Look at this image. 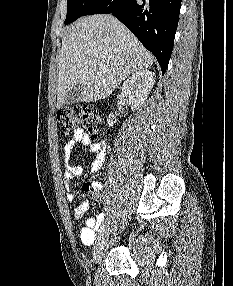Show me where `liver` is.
Masks as SVG:
<instances>
[{
  "mask_svg": "<svg viewBox=\"0 0 233 286\" xmlns=\"http://www.w3.org/2000/svg\"><path fill=\"white\" fill-rule=\"evenodd\" d=\"M104 69L100 70L99 65ZM152 54L112 15L97 14L74 22L58 54L57 108L68 92L84 85L81 102L105 99L128 75L149 68Z\"/></svg>",
  "mask_w": 233,
  "mask_h": 286,
  "instance_id": "obj_1",
  "label": "liver"
}]
</instances>
